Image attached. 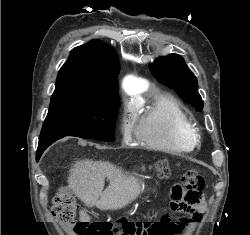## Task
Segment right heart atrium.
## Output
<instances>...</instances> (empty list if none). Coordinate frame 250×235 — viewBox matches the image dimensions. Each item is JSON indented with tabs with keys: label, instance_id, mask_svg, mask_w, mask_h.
<instances>
[{
	"label": "right heart atrium",
	"instance_id": "obj_1",
	"mask_svg": "<svg viewBox=\"0 0 250 235\" xmlns=\"http://www.w3.org/2000/svg\"><path fill=\"white\" fill-rule=\"evenodd\" d=\"M135 131L134 123L132 118L124 114L120 121V132L124 141L131 140L133 133Z\"/></svg>",
	"mask_w": 250,
	"mask_h": 235
}]
</instances>
